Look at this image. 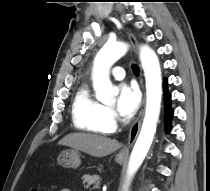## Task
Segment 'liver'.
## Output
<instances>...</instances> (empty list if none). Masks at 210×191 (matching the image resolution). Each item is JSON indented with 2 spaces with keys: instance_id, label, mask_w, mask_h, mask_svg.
<instances>
[{
  "instance_id": "liver-1",
  "label": "liver",
  "mask_w": 210,
  "mask_h": 191,
  "mask_svg": "<svg viewBox=\"0 0 210 191\" xmlns=\"http://www.w3.org/2000/svg\"><path fill=\"white\" fill-rule=\"evenodd\" d=\"M58 144L80 150L95 157L107 156L122 146L116 140L88 133L68 134Z\"/></svg>"
}]
</instances>
